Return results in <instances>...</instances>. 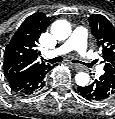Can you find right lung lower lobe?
Segmentation results:
<instances>
[{
    "label": "right lung lower lobe",
    "mask_w": 115,
    "mask_h": 119,
    "mask_svg": "<svg viewBox=\"0 0 115 119\" xmlns=\"http://www.w3.org/2000/svg\"><path fill=\"white\" fill-rule=\"evenodd\" d=\"M52 66L35 69L17 79L8 81L10 88L22 95H31L39 92L45 85V75Z\"/></svg>",
    "instance_id": "right-lung-lower-lobe-1"
}]
</instances>
